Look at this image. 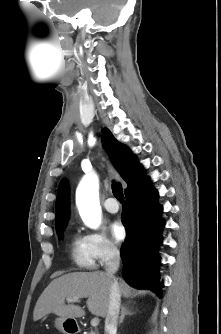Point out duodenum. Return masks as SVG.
<instances>
[{
	"mask_svg": "<svg viewBox=\"0 0 221 334\" xmlns=\"http://www.w3.org/2000/svg\"><path fill=\"white\" fill-rule=\"evenodd\" d=\"M67 332H70V333H73V334H77V330H73V331L67 330Z\"/></svg>",
	"mask_w": 221,
	"mask_h": 334,
	"instance_id": "duodenum-1",
	"label": "duodenum"
}]
</instances>
